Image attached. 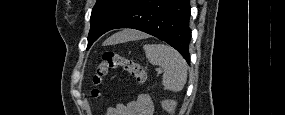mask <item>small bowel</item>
<instances>
[{
	"label": "small bowel",
	"mask_w": 285,
	"mask_h": 115,
	"mask_svg": "<svg viewBox=\"0 0 285 115\" xmlns=\"http://www.w3.org/2000/svg\"><path fill=\"white\" fill-rule=\"evenodd\" d=\"M153 103L149 95L141 94L127 104L109 107L106 115H152Z\"/></svg>",
	"instance_id": "small-bowel-1"
}]
</instances>
